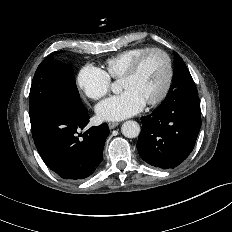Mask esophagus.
<instances>
[{
    "label": "esophagus",
    "instance_id": "34e87169",
    "mask_svg": "<svg viewBox=\"0 0 232 232\" xmlns=\"http://www.w3.org/2000/svg\"><path fill=\"white\" fill-rule=\"evenodd\" d=\"M119 125L118 122H109L108 126L110 129H114L115 127H117Z\"/></svg>",
    "mask_w": 232,
    "mask_h": 232
}]
</instances>
